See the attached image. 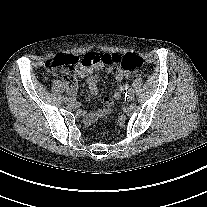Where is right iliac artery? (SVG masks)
<instances>
[{"label":"right iliac artery","instance_id":"82829eb1","mask_svg":"<svg viewBox=\"0 0 207 207\" xmlns=\"http://www.w3.org/2000/svg\"><path fill=\"white\" fill-rule=\"evenodd\" d=\"M62 99H63L64 101H66L67 98H66L65 96H63Z\"/></svg>","mask_w":207,"mask_h":207}]
</instances>
